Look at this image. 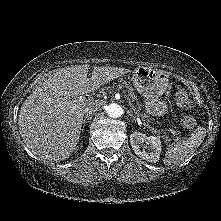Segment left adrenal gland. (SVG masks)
<instances>
[{"instance_id": "left-adrenal-gland-1", "label": "left adrenal gland", "mask_w": 221, "mask_h": 221, "mask_svg": "<svg viewBox=\"0 0 221 221\" xmlns=\"http://www.w3.org/2000/svg\"><path fill=\"white\" fill-rule=\"evenodd\" d=\"M128 114H129L130 116H132V117L134 118V120H135V117H134L132 111H128Z\"/></svg>"}]
</instances>
